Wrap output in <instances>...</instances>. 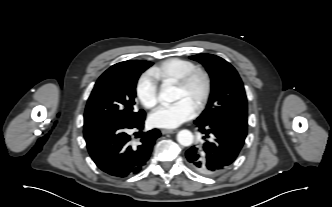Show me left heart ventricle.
I'll use <instances>...</instances> for the list:
<instances>
[{
  "label": "left heart ventricle",
  "instance_id": "left-heart-ventricle-1",
  "mask_svg": "<svg viewBox=\"0 0 332 207\" xmlns=\"http://www.w3.org/2000/svg\"><path fill=\"white\" fill-rule=\"evenodd\" d=\"M201 86H202V81L200 79L196 81L192 90L189 93L185 92L184 90H182L181 88L176 86L175 99L176 100L186 99L192 105H194L195 101H196V97L201 89Z\"/></svg>",
  "mask_w": 332,
  "mask_h": 207
}]
</instances>
